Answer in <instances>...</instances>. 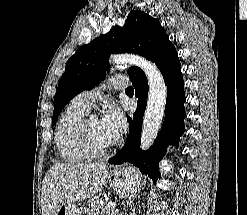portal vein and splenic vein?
I'll return each instance as SVG.
<instances>
[{"mask_svg": "<svg viewBox=\"0 0 247 215\" xmlns=\"http://www.w3.org/2000/svg\"><path fill=\"white\" fill-rule=\"evenodd\" d=\"M109 207L115 208L114 204H107Z\"/></svg>", "mask_w": 247, "mask_h": 215, "instance_id": "18ae733b", "label": "portal vein and splenic vein"}]
</instances>
